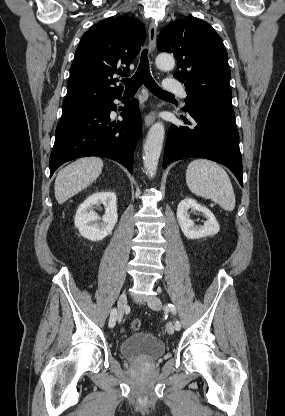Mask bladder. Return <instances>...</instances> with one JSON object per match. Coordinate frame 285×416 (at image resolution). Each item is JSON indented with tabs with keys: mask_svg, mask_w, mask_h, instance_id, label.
Segmentation results:
<instances>
[{
	"mask_svg": "<svg viewBox=\"0 0 285 416\" xmlns=\"http://www.w3.org/2000/svg\"><path fill=\"white\" fill-rule=\"evenodd\" d=\"M119 352L123 358H144V361H152L160 358L165 352V343L150 332L133 333L125 337L119 343Z\"/></svg>",
	"mask_w": 285,
	"mask_h": 416,
	"instance_id": "31cf9c89",
	"label": "bladder"
}]
</instances>
